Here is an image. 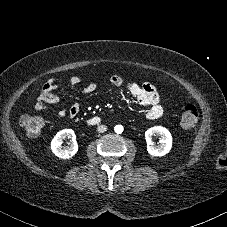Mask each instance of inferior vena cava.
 <instances>
[{"label": "inferior vena cava", "instance_id": "1", "mask_svg": "<svg viewBox=\"0 0 227 227\" xmlns=\"http://www.w3.org/2000/svg\"><path fill=\"white\" fill-rule=\"evenodd\" d=\"M107 130V126L105 125H99L98 128H97V131L100 132V133H103Z\"/></svg>", "mask_w": 227, "mask_h": 227}]
</instances>
